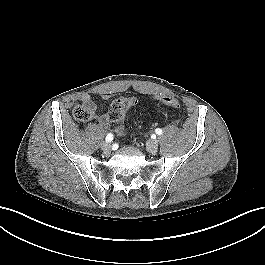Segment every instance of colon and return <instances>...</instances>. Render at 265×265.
Instances as JSON below:
<instances>
[{"label": "colon", "instance_id": "colon-1", "mask_svg": "<svg viewBox=\"0 0 265 265\" xmlns=\"http://www.w3.org/2000/svg\"><path fill=\"white\" fill-rule=\"evenodd\" d=\"M162 102L172 108H179V101L173 96H163ZM137 104V99L134 97H122L116 99L110 106L108 111V119L117 124V131L121 132V123L125 118V113L128 109ZM74 118L80 123H87L93 118V109L86 105H77L73 110Z\"/></svg>", "mask_w": 265, "mask_h": 265}]
</instances>
